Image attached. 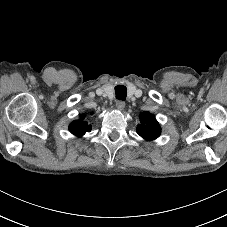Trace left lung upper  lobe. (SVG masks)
Wrapping results in <instances>:
<instances>
[{
    "instance_id": "obj_1",
    "label": "left lung upper lobe",
    "mask_w": 227,
    "mask_h": 227,
    "mask_svg": "<svg viewBox=\"0 0 227 227\" xmlns=\"http://www.w3.org/2000/svg\"><path fill=\"white\" fill-rule=\"evenodd\" d=\"M141 124L137 127V133L146 140L156 139L160 133V126L154 115L144 112L140 115Z\"/></svg>"
}]
</instances>
